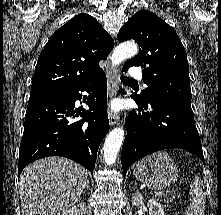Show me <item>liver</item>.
I'll return each mask as SVG.
<instances>
[{
  "label": "liver",
  "mask_w": 221,
  "mask_h": 215,
  "mask_svg": "<svg viewBox=\"0 0 221 215\" xmlns=\"http://www.w3.org/2000/svg\"><path fill=\"white\" fill-rule=\"evenodd\" d=\"M87 181L80 164L47 157L27 165L20 178L22 215H60L79 200Z\"/></svg>",
  "instance_id": "liver-1"
}]
</instances>
